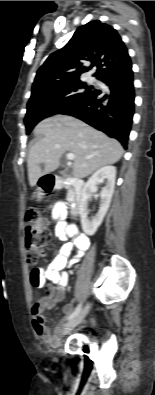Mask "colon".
Segmentation results:
<instances>
[{
	"label": "colon",
	"instance_id": "colon-1",
	"mask_svg": "<svg viewBox=\"0 0 155 395\" xmlns=\"http://www.w3.org/2000/svg\"><path fill=\"white\" fill-rule=\"evenodd\" d=\"M52 238L46 218L36 208L26 214L25 248L26 259L30 265H36L44 256V249Z\"/></svg>",
	"mask_w": 155,
	"mask_h": 395
}]
</instances>
